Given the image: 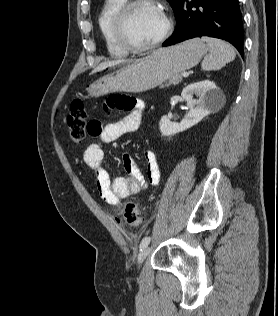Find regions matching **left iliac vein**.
I'll return each instance as SVG.
<instances>
[{
	"label": "left iliac vein",
	"mask_w": 278,
	"mask_h": 316,
	"mask_svg": "<svg viewBox=\"0 0 278 316\" xmlns=\"http://www.w3.org/2000/svg\"><path fill=\"white\" fill-rule=\"evenodd\" d=\"M150 251H151L150 247H145L143 249V251L140 252V254L138 255V263L139 264H142L145 261V259L149 255Z\"/></svg>",
	"instance_id": "obj_1"
}]
</instances>
